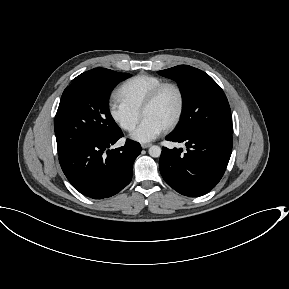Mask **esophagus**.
Instances as JSON below:
<instances>
[{"label":"esophagus","instance_id":"1","mask_svg":"<svg viewBox=\"0 0 289 289\" xmlns=\"http://www.w3.org/2000/svg\"><path fill=\"white\" fill-rule=\"evenodd\" d=\"M151 145H152V144H150V143H146V144H142L141 147H142L143 149H147V148H149Z\"/></svg>","mask_w":289,"mask_h":289}]
</instances>
